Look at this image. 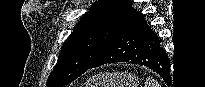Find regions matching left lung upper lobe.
<instances>
[{"instance_id":"1","label":"left lung upper lobe","mask_w":205,"mask_h":87,"mask_svg":"<svg viewBox=\"0 0 205 87\" xmlns=\"http://www.w3.org/2000/svg\"><path fill=\"white\" fill-rule=\"evenodd\" d=\"M132 9L130 0H99L61 49L47 87L64 86L87 71Z\"/></svg>"}]
</instances>
